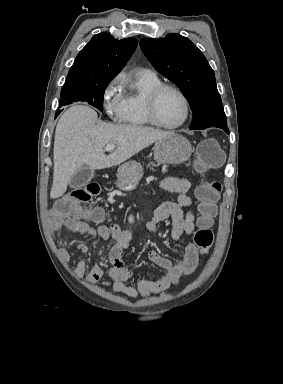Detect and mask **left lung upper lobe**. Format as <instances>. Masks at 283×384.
<instances>
[{
    "instance_id": "5c2ea615",
    "label": "left lung upper lobe",
    "mask_w": 283,
    "mask_h": 384,
    "mask_svg": "<svg viewBox=\"0 0 283 384\" xmlns=\"http://www.w3.org/2000/svg\"><path fill=\"white\" fill-rule=\"evenodd\" d=\"M140 46L154 68L188 99L193 112L190 129L227 125L214 71L188 38L171 33L162 39L144 38Z\"/></svg>"
}]
</instances>
